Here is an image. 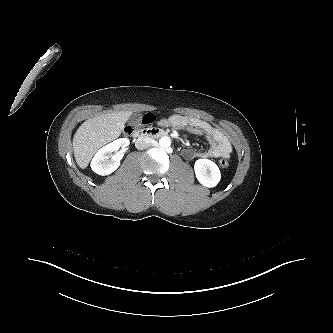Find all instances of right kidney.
I'll use <instances>...</instances> for the list:
<instances>
[{"mask_svg":"<svg viewBox=\"0 0 333 333\" xmlns=\"http://www.w3.org/2000/svg\"><path fill=\"white\" fill-rule=\"evenodd\" d=\"M129 139L120 138L103 146L93 157L91 169L98 175L106 176L114 172L120 165L124 153L129 145ZM120 151L112 155L113 152Z\"/></svg>","mask_w":333,"mask_h":333,"instance_id":"right-kidney-1","label":"right kidney"}]
</instances>
